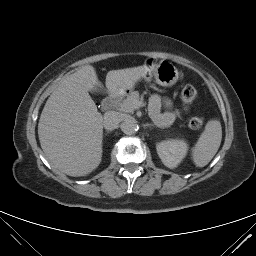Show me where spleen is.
Returning <instances> with one entry per match:
<instances>
[{
    "label": "spleen",
    "instance_id": "3e777b00",
    "mask_svg": "<svg viewBox=\"0 0 256 256\" xmlns=\"http://www.w3.org/2000/svg\"><path fill=\"white\" fill-rule=\"evenodd\" d=\"M222 140V127L218 120H210L192 150L197 167L206 166L217 153Z\"/></svg>",
    "mask_w": 256,
    "mask_h": 256
}]
</instances>
